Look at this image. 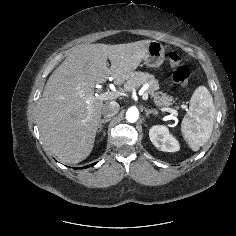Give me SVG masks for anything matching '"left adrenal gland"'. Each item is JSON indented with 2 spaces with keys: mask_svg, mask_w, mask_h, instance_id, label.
<instances>
[{
  "mask_svg": "<svg viewBox=\"0 0 236 236\" xmlns=\"http://www.w3.org/2000/svg\"><path fill=\"white\" fill-rule=\"evenodd\" d=\"M145 114H146V117H148L150 114H153V115L156 116L158 114V112L155 109H147V108H145Z\"/></svg>",
  "mask_w": 236,
  "mask_h": 236,
  "instance_id": "1",
  "label": "left adrenal gland"
}]
</instances>
